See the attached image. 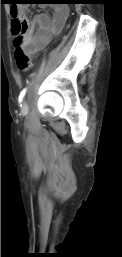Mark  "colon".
I'll return each instance as SVG.
<instances>
[{"label": "colon", "mask_w": 122, "mask_h": 257, "mask_svg": "<svg viewBox=\"0 0 122 257\" xmlns=\"http://www.w3.org/2000/svg\"><path fill=\"white\" fill-rule=\"evenodd\" d=\"M23 10H28V5H11L10 13L12 17L11 30L15 36V62L20 70L26 71L30 68V59L20 47V42L28 27Z\"/></svg>", "instance_id": "1"}]
</instances>
